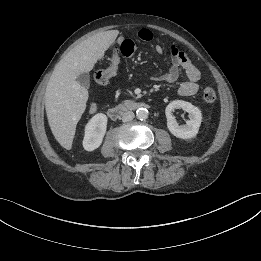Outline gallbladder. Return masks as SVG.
Here are the masks:
<instances>
[{
  "label": "gallbladder",
  "mask_w": 261,
  "mask_h": 261,
  "mask_svg": "<svg viewBox=\"0 0 261 261\" xmlns=\"http://www.w3.org/2000/svg\"><path fill=\"white\" fill-rule=\"evenodd\" d=\"M77 82L85 88L90 86V76L88 73H81L77 76Z\"/></svg>",
  "instance_id": "obj_1"
}]
</instances>
